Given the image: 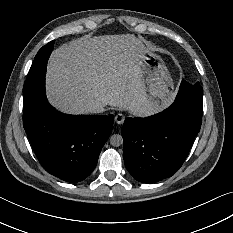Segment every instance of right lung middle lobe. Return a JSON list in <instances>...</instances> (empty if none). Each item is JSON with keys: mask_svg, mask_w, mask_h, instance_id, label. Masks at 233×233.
Returning <instances> with one entry per match:
<instances>
[{"mask_svg": "<svg viewBox=\"0 0 233 233\" xmlns=\"http://www.w3.org/2000/svg\"><path fill=\"white\" fill-rule=\"evenodd\" d=\"M53 45L54 41H51L47 45L43 46L37 53L30 68L28 77L24 83V93L29 91L32 87L45 78L47 61L50 53L53 50Z\"/></svg>", "mask_w": 233, "mask_h": 233, "instance_id": "dd1d6c3e", "label": "right lung middle lobe"}]
</instances>
